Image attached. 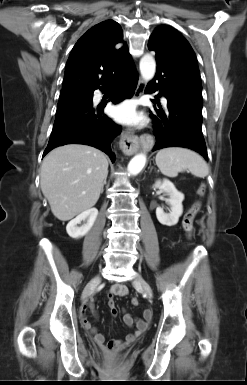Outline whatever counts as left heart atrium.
Returning a JSON list of instances; mask_svg holds the SVG:
<instances>
[{
  "label": "left heart atrium",
  "instance_id": "left-heart-atrium-1",
  "mask_svg": "<svg viewBox=\"0 0 247 385\" xmlns=\"http://www.w3.org/2000/svg\"><path fill=\"white\" fill-rule=\"evenodd\" d=\"M111 115L118 121L126 124H137L142 120L131 102H124L111 110Z\"/></svg>",
  "mask_w": 247,
  "mask_h": 385
}]
</instances>
